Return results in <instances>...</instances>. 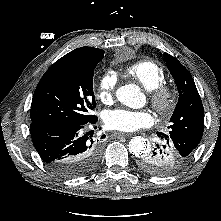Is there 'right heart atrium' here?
Wrapping results in <instances>:
<instances>
[{"label":"right heart atrium","instance_id":"d8ad5b80","mask_svg":"<svg viewBox=\"0 0 221 221\" xmlns=\"http://www.w3.org/2000/svg\"><path fill=\"white\" fill-rule=\"evenodd\" d=\"M115 84L116 76L112 72H105L98 80L96 87V97L102 103H109L113 97Z\"/></svg>","mask_w":221,"mask_h":221}]
</instances>
